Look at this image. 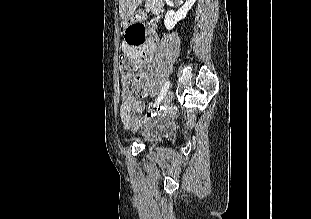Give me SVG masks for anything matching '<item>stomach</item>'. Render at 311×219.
I'll return each mask as SVG.
<instances>
[{
  "mask_svg": "<svg viewBox=\"0 0 311 219\" xmlns=\"http://www.w3.org/2000/svg\"><path fill=\"white\" fill-rule=\"evenodd\" d=\"M142 0H132L131 4H132V12H130L125 18V22L129 23V22H134V21H140V20H144L146 18V15L140 11L135 12V9L137 7V5L139 3H141Z\"/></svg>",
  "mask_w": 311,
  "mask_h": 219,
  "instance_id": "1",
  "label": "stomach"
}]
</instances>
